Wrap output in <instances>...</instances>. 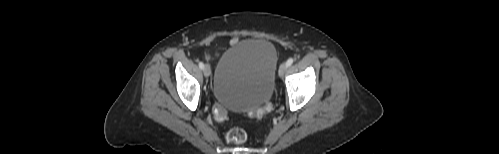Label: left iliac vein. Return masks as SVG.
I'll return each mask as SVG.
<instances>
[{"label":"left iliac vein","instance_id":"obj_1","mask_svg":"<svg viewBox=\"0 0 499 154\" xmlns=\"http://www.w3.org/2000/svg\"><path fill=\"white\" fill-rule=\"evenodd\" d=\"M287 68H288V66L286 63H283L280 65L279 70H278L279 77H282L285 74V72L287 71Z\"/></svg>","mask_w":499,"mask_h":154}]
</instances>
